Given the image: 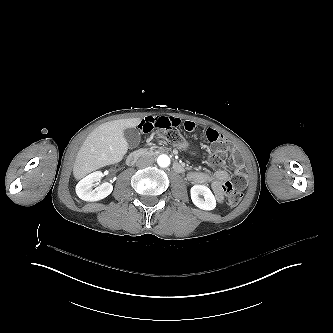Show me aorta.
<instances>
[{"label":"aorta","mask_w":333,"mask_h":333,"mask_svg":"<svg viewBox=\"0 0 333 333\" xmlns=\"http://www.w3.org/2000/svg\"><path fill=\"white\" fill-rule=\"evenodd\" d=\"M157 162L160 167L165 168L170 165V158L167 155H160Z\"/></svg>","instance_id":"aorta-1"}]
</instances>
